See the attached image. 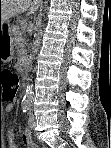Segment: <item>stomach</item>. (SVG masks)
<instances>
[{"mask_svg": "<svg viewBox=\"0 0 111 148\" xmlns=\"http://www.w3.org/2000/svg\"><path fill=\"white\" fill-rule=\"evenodd\" d=\"M10 26L7 21L0 24V62H9L14 55L13 41L9 38Z\"/></svg>", "mask_w": 111, "mask_h": 148, "instance_id": "stomach-1", "label": "stomach"}]
</instances>
